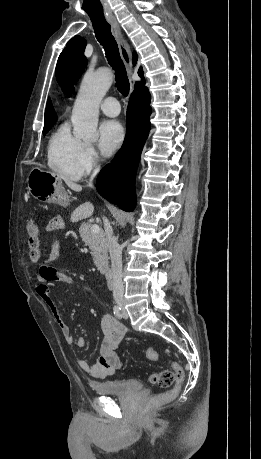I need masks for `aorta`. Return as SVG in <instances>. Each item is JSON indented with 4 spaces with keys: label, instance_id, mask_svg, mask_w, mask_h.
I'll list each match as a JSON object with an SVG mask.
<instances>
[{
    "label": "aorta",
    "instance_id": "1",
    "mask_svg": "<svg viewBox=\"0 0 261 459\" xmlns=\"http://www.w3.org/2000/svg\"><path fill=\"white\" fill-rule=\"evenodd\" d=\"M112 82L113 74L105 68L84 76L71 117L75 137L89 142L98 138L99 105Z\"/></svg>",
    "mask_w": 261,
    "mask_h": 459
}]
</instances>
